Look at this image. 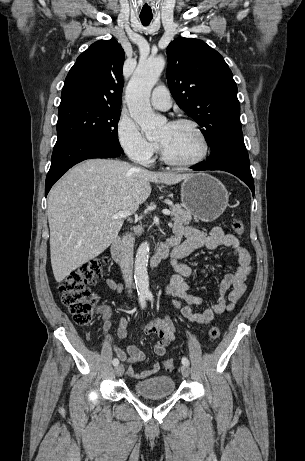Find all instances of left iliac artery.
<instances>
[{
  "label": "left iliac artery",
  "instance_id": "44dca946",
  "mask_svg": "<svg viewBox=\"0 0 305 461\" xmlns=\"http://www.w3.org/2000/svg\"><path fill=\"white\" fill-rule=\"evenodd\" d=\"M148 298H149L150 300H153V296H152V295H149ZM182 364L188 366V365H189V360H188L186 357H183V358H182Z\"/></svg>",
  "mask_w": 305,
  "mask_h": 461
}]
</instances>
